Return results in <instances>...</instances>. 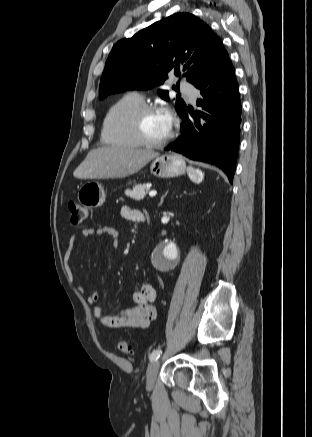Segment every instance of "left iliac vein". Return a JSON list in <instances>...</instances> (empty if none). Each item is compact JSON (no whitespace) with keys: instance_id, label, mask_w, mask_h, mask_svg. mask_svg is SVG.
Returning a JSON list of instances; mask_svg holds the SVG:
<instances>
[{"instance_id":"left-iliac-vein-1","label":"left iliac vein","mask_w":312,"mask_h":437,"mask_svg":"<svg viewBox=\"0 0 312 437\" xmlns=\"http://www.w3.org/2000/svg\"><path fill=\"white\" fill-rule=\"evenodd\" d=\"M159 368H160V362L159 361H153L148 369H147V376H146V381H147V389H151L155 383L156 377L158 375L159 372Z\"/></svg>"}]
</instances>
